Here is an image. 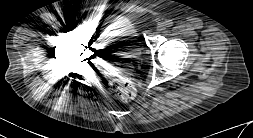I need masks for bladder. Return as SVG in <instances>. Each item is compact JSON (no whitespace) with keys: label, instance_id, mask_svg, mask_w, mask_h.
Wrapping results in <instances>:
<instances>
[{"label":"bladder","instance_id":"1","mask_svg":"<svg viewBox=\"0 0 253 138\" xmlns=\"http://www.w3.org/2000/svg\"><path fill=\"white\" fill-rule=\"evenodd\" d=\"M135 25L124 19H111L102 28L99 36L104 47L116 48L127 59H137L141 48L137 44Z\"/></svg>","mask_w":253,"mask_h":138}]
</instances>
